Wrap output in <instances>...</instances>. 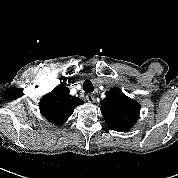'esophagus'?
Wrapping results in <instances>:
<instances>
[{"label": "esophagus", "instance_id": "esophagus-1", "mask_svg": "<svg viewBox=\"0 0 178 178\" xmlns=\"http://www.w3.org/2000/svg\"><path fill=\"white\" fill-rule=\"evenodd\" d=\"M86 99H87V101H88L89 103H95V101H96V98H95V96H94L93 94H88V95L86 96Z\"/></svg>", "mask_w": 178, "mask_h": 178}]
</instances>
